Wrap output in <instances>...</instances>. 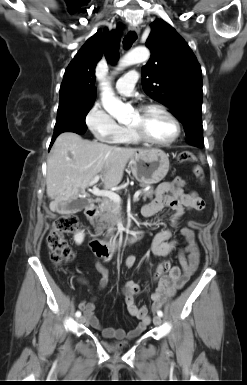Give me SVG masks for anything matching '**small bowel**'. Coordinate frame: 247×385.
Listing matches in <instances>:
<instances>
[{
  "label": "small bowel",
  "mask_w": 247,
  "mask_h": 385,
  "mask_svg": "<svg viewBox=\"0 0 247 385\" xmlns=\"http://www.w3.org/2000/svg\"><path fill=\"white\" fill-rule=\"evenodd\" d=\"M184 185L185 181L182 178L160 184L155 198L142 208V213L146 217H150L166 207L174 211V215L171 218V228L161 229L152 239L151 250L155 255L166 256L176 249L177 241L172 240V229L178 224L186 211L194 210L200 212L205 208V202L198 193L195 191L184 192ZM196 227L197 222L190 221L188 226L180 231L186 242V245L180 248L177 253L180 267L171 266L169 262H162L168 264L167 272L162 273L158 270L162 263L158 266L155 273L158 284L151 295L153 311L159 309L166 298L174 296L177 290L183 288L196 272L200 262V253L194 232ZM101 258L107 259V257ZM135 264L136 258L134 256L127 257L124 261V266L127 269L133 268ZM96 269L101 274L98 288L103 290L108 284L109 272L101 261L96 264ZM137 291L138 285L133 282H126L122 287V294L128 312L139 320L138 325L128 333L122 329L107 328L101 325L95 315V298L89 301H81L79 307L83 311L85 321L94 329L99 330L104 337L133 339L138 337L150 324L148 308L146 306H139L135 302Z\"/></svg>",
  "instance_id": "small-bowel-1"
}]
</instances>
